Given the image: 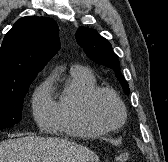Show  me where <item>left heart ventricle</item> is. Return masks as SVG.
I'll return each mask as SVG.
<instances>
[{"mask_svg": "<svg viewBox=\"0 0 168 162\" xmlns=\"http://www.w3.org/2000/svg\"><path fill=\"white\" fill-rule=\"evenodd\" d=\"M94 111L98 119L108 125H116L121 118V111L116 100L108 94H100L94 104Z\"/></svg>", "mask_w": 168, "mask_h": 162, "instance_id": "obj_1", "label": "left heart ventricle"}]
</instances>
